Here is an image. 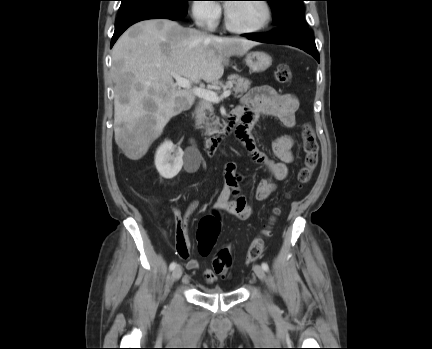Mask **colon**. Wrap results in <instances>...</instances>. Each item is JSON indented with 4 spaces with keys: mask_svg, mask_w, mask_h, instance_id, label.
Returning a JSON list of instances; mask_svg holds the SVG:
<instances>
[{
    "mask_svg": "<svg viewBox=\"0 0 432 349\" xmlns=\"http://www.w3.org/2000/svg\"><path fill=\"white\" fill-rule=\"evenodd\" d=\"M276 80L281 84H288L292 80V72L287 64H280L275 71ZM302 148L304 152L303 165L299 170L297 180L300 186L308 183L318 164L319 145L312 126L305 123L301 131ZM280 214V208L273 210L269 224L261 232L260 236L255 238L248 247L246 253V263L256 261L263 253L265 243L272 236V226ZM220 224L216 217L207 216L199 224L197 231L198 250L203 256L210 254L216 239L219 235ZM212 266L215 273L227 275L232 266V254L229 248L220 249L215 253L212 260Z\"/></svg>",
    "mask_w": 432,
    "mask_h": 349,
    "instance_id": "colon-1",
    "label": "colon"
}]
</instances>
